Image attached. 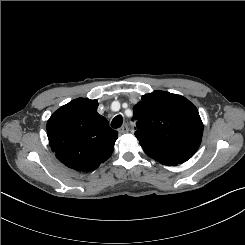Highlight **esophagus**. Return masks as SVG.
<instances>
[{
  "label": "esophagus",
  "instance_id": "esophagus-1",
  "mask_svg": "<svg viewBox=\"0 0 245 245\" xmlns=\"http://www.w3.org/2000/svg\"><path fill=\"white\" fill-rule=\"evenodd\" d=\"M118 132L120 134H124L126 132H128V125L127 124H123L119 129H118Z\"/></svg>",
  "mask_w": 245,
  "mask_h": 245
}]
</instances>
